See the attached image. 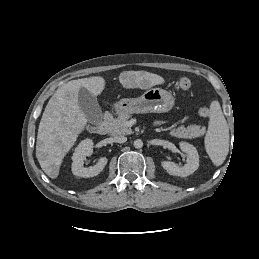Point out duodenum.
Here are the masks:
<instances>
[{"label":"duodenum","mask_w":259,"mask_h":259,"mask_svg":"<svg viewBox=\"0 0 259 259\" xmlns=\"http://www.w3.org/2000/svg\"><path fill=\"white\" fill-rule=\"evenodd\" d=\"M110 117V114H107L105 116V119H108ZM88 131L92 134H96V135H103L106 132V125L105 122H100L97 124H90L88 125Z\"/></svg>","instance_id":"duodenum-1"}]
</instances>
